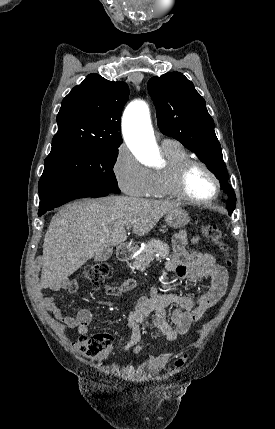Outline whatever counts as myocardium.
Masks as SVG:
<instances>
[{
    "label": "myocardium",
    "mask_w": 275,
    "mask_h": 429,
    "mask_svg": "<svg viewBox=\"0 0 275 429\" xmlns=\"http://www.w3.org/2000/svg\"><path fill=\"white\" fill-rule=\"evenodd\" d=\"M200 167L205 170L215 183V193L212 197L205 200H198L189 195L186 189V180L190 171L195 168ZM172 191L175 196L181 200H184L190 204L194 205H208L216 201L221 193V182L217 174L203 161L198 159L189 158L181 162L173 171L172 181H171Z\"/></svg>",
    "instance_id": "obj_1"
}]
</instances>
